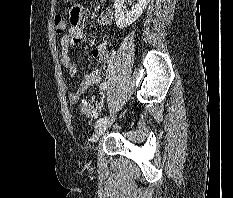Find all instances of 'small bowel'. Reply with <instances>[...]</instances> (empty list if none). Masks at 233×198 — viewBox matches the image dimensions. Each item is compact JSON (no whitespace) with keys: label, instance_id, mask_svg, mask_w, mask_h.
I'll return each instance as SVG.
<instances>
[{"label":"small bowel","instance_id":"c3829d8e","mask_svg":"<svg viewBox=\"0 0 233 198\" xmlns=\"http://www.w3.org/2000/svg\"><path fill=\"white\" fill-rule=\"evenodd\" d=\"M69 18L71 26L62 36L60 41L62 49L61 64L68 71L71 77H75L78 69L71 57L70 50L76 44L86 40V33L82 26L84 19L83 9L80 6L73 7L70 11ZM112 20L113 11L110 8L104 9L97 17V23L101 26L110 25ZM92 56L95 60L105 66H108L112 62V55L105 41L92 50ZM101 78L102 71L100 69H95L87 73L83 77L79 87L68 94L69 101L71 103L78 102L90 87L100 83Z\"/></svg>","mask_w":233,"mask_h":198}]
</instances>
